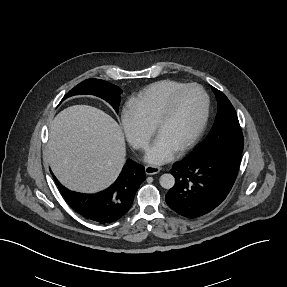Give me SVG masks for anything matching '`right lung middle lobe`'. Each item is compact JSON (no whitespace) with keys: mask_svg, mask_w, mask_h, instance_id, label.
<instances>
[{"mask_svg":"<svg viewBox=\"0 0 287 287\" xmlns=\"http://www.w3.org/2000/svg\"><path fill=\"white\" fill-rule=\"evenodd\" d=\"M79 94H91L98 96L107 101L115 109V111L118 112L122 90L116 85L104 80L88 79L75 86L68 94L64 96L63 100L70 96Z\"/></svg>","mask_w":287,"mask_h":287,"instance_id":"obj_1","label":"right lung middle lobe"}]
</instances>
